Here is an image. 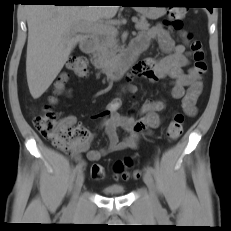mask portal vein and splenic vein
<instances>
[{
    "label": "portal vein and splenic vein",
    "mask_w": 231,
    "mask_h": 231,
    "mask_svg": "<svg viewBox=\"0 0 231 231\" xmlns=\"http://www.w3.org/2000/svg\"><path fill=\"white\" fill-rule=\"evenodd\" d=\"M133 22H137V19L136 18H133L132 19ZM91 30L95 33H98V34H102V35H116L117 34V29L113 26V25H110V24H95Z\"/></svg>",
    "instance_id": "18ae733b"
}]
</instances>
